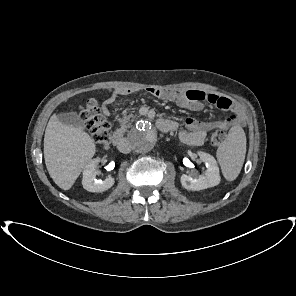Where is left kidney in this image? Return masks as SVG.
<instances>
[{"mask_svg":"<svg viewBox=\"0 0 296 296\" xmlns=\"http://www.w3.org/2000/svg\"><path fill=\"white\" fill-rule=\"evenodd\" d=\"M200 160L205 163L206 170L204 175L190 176L183 174L181 184L187 190L199 191L214 187L220 183L219 167L215 158L205 152H198Z\"/></svg>","mask_w":296,"mask_h":296,"instance_id":"5707ae66","label":"left kidney"}]
</instances>
